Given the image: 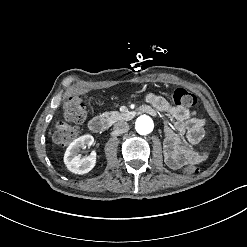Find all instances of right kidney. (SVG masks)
<instances>
[{
    "instance_id": "1",
    "label": "right kidney",
    "mask_w": 247,
    "mask_h": 247,
    "mask_svg": "<svg viewBox=\"0 0 247 247\" xmlns=\"http://www.w3.org/2000/svg\"><path fill=\"white\" fill-rule=\"evenodd\" d=\"M94 138L90 134L75 139L66 149L64 163L69 171L75 174H85L93 169L96 164V152L92 151L89 156L81 158L79 151L84 146H92Z\"/></svg>"
}]
</instances>
